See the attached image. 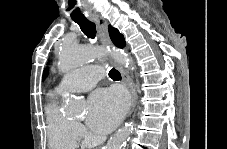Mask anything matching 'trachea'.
Wrapping results in <instances>:
<instances>
[{
  "instance_id": "1",
  "label": "trachea",
  "mask_w": 227,
  "mask_h": 149,
  "mask_svg": "<svg viewBox=\"0 0 227 149\" xmlns=\"http://www.w3.org/2000/svg\"><path fill=\"white\" fill-rule=\"evenodd\" d=\"M75 23H77L82 30V32L88 37L94 39L96 36V25L90 20H74ZM109 77L112 80H120L121 74L118 70L112 68L109 71Z\"/></svg>"
}]
</instances>
